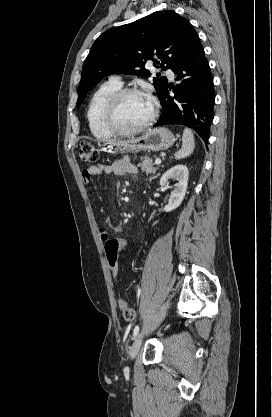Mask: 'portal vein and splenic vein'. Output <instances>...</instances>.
<instances>
[{
	"label": "portal vein and splenic vein",
	"mask_w": 272,
	"mask_h": 417,
	"mask_svg": "<svg viewBox=\"0 0 272 417\" xmlns=\"http://www.w3.org/2000/svg\"><path fill=\"white\" fill-rule=\"evenodd\" d=\"M160 163H161V159H156V160H155V164H156V165H159Z\"/></svg>",
	"instance_id": "obj_1"
}]
</instances>
